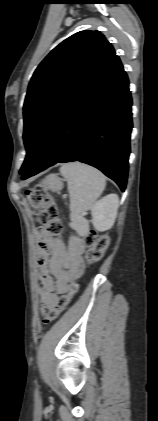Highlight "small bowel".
Wrapping results in <instances>:
<instances>
[{"mask_svg":"<svg viewBox=\"0 0 158 421\" xmlns=\"http://www.w3.org/2000/svg\"><path fill=\"white\" fill-rule=\"evenodd\" d=\"M85 247L77 236L68 243L47 233H38V258L40 297L43 308L56 305L58 298L68 291V282L81 273Z\"/></svg>","mask_w":158,"mask_h":421,"instance_id":"1","label":"small bowel"}]
</instances>
